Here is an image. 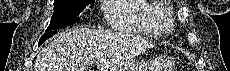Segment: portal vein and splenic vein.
Wrapping results in <instances>:
<instances>
[{"label":"portal vein and splenic vein","mask_w":230,"mask_h":71,"mask_svg":"<svg viewBox=\"0 0 230 71\" xmlns=\"http://www.w3.org/2000/svg\"><path fill=\"white\" fill-rule=\"evenodd\" d=\"M102 56H103L102 53H97V54H96V58H97V59L101 58Z\"/></svg>","instance_id":"portal-vein-and-splenic-vein-1"}]
</instances>
